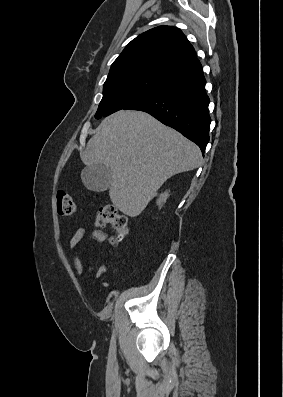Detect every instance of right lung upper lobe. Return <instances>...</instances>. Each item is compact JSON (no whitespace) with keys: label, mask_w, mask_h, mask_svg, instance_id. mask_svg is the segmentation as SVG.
Returning <instances> with one entry per match:
<instances>
[{"label":"right lung upper lobe","mask_w":283,"mask_h":397,"mask_svg":"<svg viewBox=\"0 0 283 397\" xmlns=\"http://www.w3.org/2000/svg\"><path fill=\"white\" fill-rule=\"evenodd\" d=\"M202 69L181 30L158 26L133 39L111 65L109 75L145 73L168 82Z\"/></svg>","instance_id":"obj_1"}]
</instances>
